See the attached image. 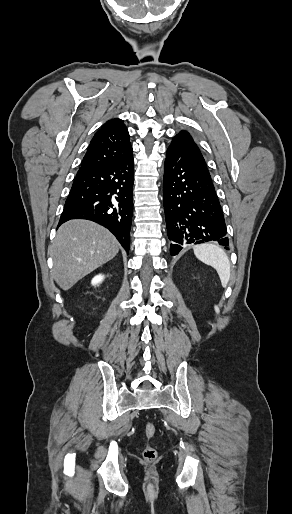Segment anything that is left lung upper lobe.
Here are the masks:
<instances>
[{"label":"left lung upper lobe","instance_id":"left-lung-upper-lobe-1","mask_svg":"<svg viewBox=\"0 0 292 514\" xmlns=\"http://www.w3.org/2000/svg\"><path fill=\"white\" fill-rule=\"evenodd\" d=\"M172 143H183L189 147H191L195 154L199 157L201 163L207 167V164L205 162V159L201 153V150L199 149L198 145L194 141L193 137L188 131L181 130L175 137H173Z\"/></svg>","mask_w":292,"mask_h":514}]
</instances>
